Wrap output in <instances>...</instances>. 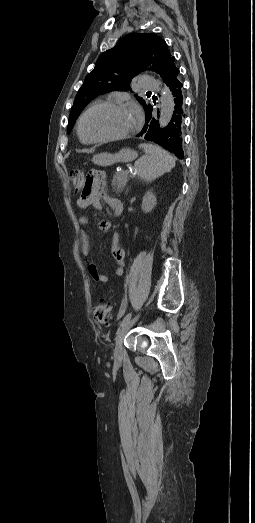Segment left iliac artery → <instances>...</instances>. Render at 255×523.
Listing matches in <instances>:
<instances>
[{
	"label": "left iliac artery",
	"instance_id": "44dca946",
	"mask_svg": "<svg viewBox=\"0 0 255 523\" xmlns=\"http://www.w3.org/2000/svg\"><path fill=\"white\" fill-rule=\"evenodd\" d=\"M131 316H132V313H128V314L124 317V319L122 320V322H121L120 325H121V326H124V325H125V324L130 320V319H131Z\"/></svg>",
	"mask_w": 255,
	"mask_h": 523
}]
</instances>
